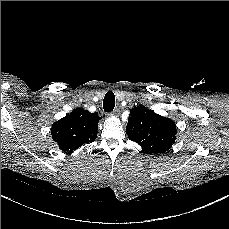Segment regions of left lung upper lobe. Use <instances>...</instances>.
I'll return each mask as SVG.
<instances>
[{
  "label": "left lung upper lobe",
  "instance_id": "obj_1",
  "mask_svg": "<svg viewBox=\"0 0 229 229\" xmlns=\"http://www.w3.org/2000/svg\"><path fill=\"white\" fill-rule=\"evenodd\" d=\"M128 138L138 143L147 153L168 151L175 142L176 125L174 121L156 114L145 106L130 110L126 127Z\"/></svg>",
  "mask_w": 229,
  "mask_h": 229
}]
</instances>
